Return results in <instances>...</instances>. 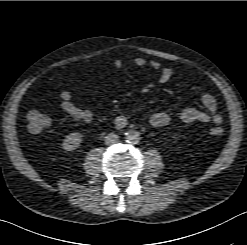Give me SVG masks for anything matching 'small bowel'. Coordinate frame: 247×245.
Returning a JSON list of instances; mask_svg holds the SVG:
<instances>
[{
    "instance_id": "small-bowel-1",
    "label": "small bowel",
    "mask_w": 247,
    "mask_h": 245,
    "mask_svg": "<svg viewBox=\"0 0 247 245\" xmlns=\"http://www.w3.org/2000/svg\"><path fill=\"white\" fill-rule=\"evenodd\" d=\"M134 64L138 67H143L149 65L153 70L160 72L159 81L162 84L168 83L173 75V71L169 67H162L161 64L156 60H151L147 62L142 57H136L133 60ZM114 68L118 73L122 72L123 64L121 61L117 60L114 62ZM61 98V108L74 120L90 123L93 120V113L86 108L78 106L72 101V95L69 91H62L60 94ZM202 104L206 111L199 110L193 107H187L180 110L176 116L184 123H207L212 121L215 124H220L222 122V117L217 114V101L215 97L209 93L202 96ZM171 121V116L166 112H156L153 113L149 122L152 126L160 128L167 126Z\"/></svg>"
}]
</instances>
